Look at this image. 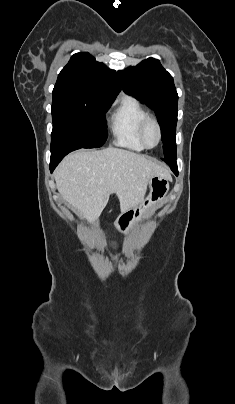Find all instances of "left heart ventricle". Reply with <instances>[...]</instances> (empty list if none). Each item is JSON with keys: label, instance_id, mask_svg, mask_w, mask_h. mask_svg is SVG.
<instances>
[{"label": "left heart ventricle", "instance_id": "1", "mask_svg": "<svg viewBox=\"0 0 235 404\" xmlns=\"http://www.w3.org/2000/svg\"><path fill=\"white\" fill-rule=\"evenodd\" d=\"M145 140L146 142L153 146L157 142V130L153 124H149L145 131Z\"/></svg>", "mask_w": 235, "mask_h": 404}]
</instances>
